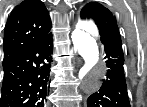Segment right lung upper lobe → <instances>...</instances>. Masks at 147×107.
<instances>
[{"mask_svg": "<svg viewBox=\"0 0 147 107\" xmlns=\"http://www.w3.org/2000/svg\"><path fill=\"white\" fill-rule=\"evenodd\" d=\"M49 12L40 0H25L17 5L7 20L4 32L3 62L21 54L51 34Z\"/></svg>", "mask_w": 147, "mask_h": 107, "instance_id": "right-lung-upper-lobe-1", "label": "right lung upper lobe"}]
</instances>
